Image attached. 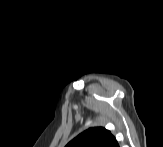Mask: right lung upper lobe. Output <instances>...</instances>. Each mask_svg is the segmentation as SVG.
<instances>
[{"label":"right lung upper lobe","instance_id":"obj_1","mask_svg":"<svg viewBox=\"0 0 163 147\" xmlns=\"http://www.w3.org/2000/svg\"><path fill=\"white\" fill-rule=\"evenodd\" d=\"M66 147H118V143L110 131L94 127L79 134Z\"/></svg>","mask_w":163,"mask_h":147}]
</instances>
